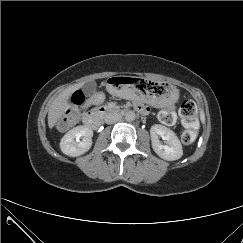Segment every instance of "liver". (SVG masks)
Here are the masks:
<instances>
[{"label": "liver", "mask_w": 243, "mask_h": 243, "mask_svg": "<svg viewBox=\"0 0 243 243\" xmlns=\"http://www.w3.org/2000/svg\"><path fill=\"white\" fill-rule=\"evenodd\" d=\"M84 83L74 84L61 92L52 102L48 112V126L52 129L57 121L63 116L65 111L70 108L69 99L71 95L80 89Z\"/></svg>", "instance_id": "1"}]
</instances>
